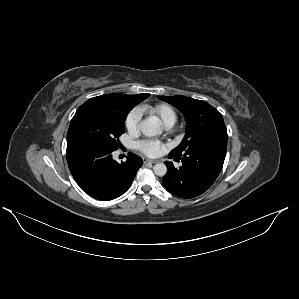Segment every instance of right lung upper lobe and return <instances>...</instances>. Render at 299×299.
Returning <instances> with one entry per match:
<instances>
[{"label": "right lung upper lobe", "instance_id": "right-lung-upper-lobe-1", "mask_svg": "<svg viewBox=\"0 0 299 299\" xmlns=\"http://www.w3.org/2000/svg\"><path fill=\"white\" fill-rule=\"evenodd\" d=\"M148 97L149 94L125 95L120 93H113V94H106V95H101V96L91 98L88 101H86L82 106L89 105V104L92 105L110 104L119 98H127L131 101L140 103Z\"/></svg>", "mask_w": 299, "mask_h": 299}]
</instances>
